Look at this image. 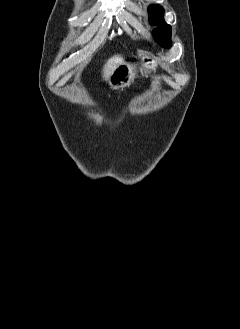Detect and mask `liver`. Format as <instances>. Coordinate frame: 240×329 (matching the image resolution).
Instances as JSON below:
<instances>
[{"mask_svg": "<svg viewBox=\"0 0 240 329\" xmlns=\"http://www.w3.org/2000/svg\"><path fill=\"white\" fill-rule=\"evenodd\" d=\"M124 59L120 55H114L111 57L103 67V79L108 80L115 68L123 63Z\"/></svg>", "mask_w": 240, "mask_h": 329, "instance_id": "obj_1", "label": "liver"}]
</instances>
